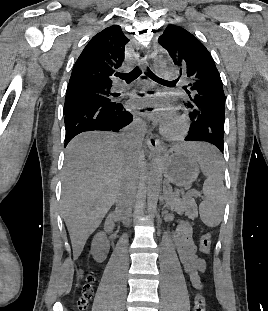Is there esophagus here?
<instances>
[{"label": "esophagus", "mask_w": 268, "mask_h": 311, "mask_svg": "<svg viewBox=\"0 0 268 311\" xmlns=\"http://www.w3.org/2000/svg\"><path fill=\"white\" fill-rule=\"evenodd\" d=\"M141 63L143 66L146 65L147 63L146 56L142 57ZM146 144L151 152H155L159 150L161 147L159 139H157L152 133H148V135L146 136Z\"/></svg>", "instance_id": "1"}]
</instances>
